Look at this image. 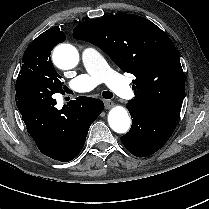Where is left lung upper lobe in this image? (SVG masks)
Listing matches in <instances>:
<instances>
[{
  "label": "left lung upper lobe",
  "instance_id": "5c2ea615",
  "mask_svg": "<svg viewBox=\"0 0 209 209\" xmlns=\"http://www.w3.org/2000/svg\"><path fill=\"white\" fill-rule=\"evenodd\" d=\"M73 37L101 48L124 72L136 77L128 103L176 122L185 93V77L171 39L151 21L133 14L86 20Z\"/></svg>",
  "mask_w": 209,
  "mask_h": 209
}]
</instances>
